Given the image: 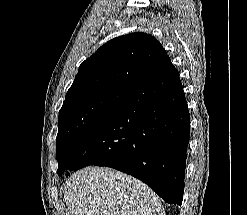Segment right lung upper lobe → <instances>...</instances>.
Segmentation results:
<instances>
[{
  "mask_svg": "<svg viewBox=\"0 0 247 215\" xmlns=\"http://www.w3.org/2000/svg\"><path fill=\"white\" fill-rule=\"evenodd\" d=\"M167 59L163 46L152 35L138 32L114 38L80 65L67 93L91 88L133 90Z\"/></svg>",
  "mask_w": 247,
  "mask_h": 215,
  "instance_id": "obj_1",
  "label": "right lung upper lobe"
}]
</instances>
